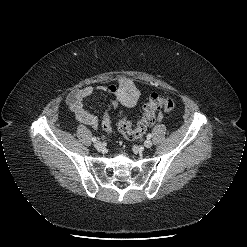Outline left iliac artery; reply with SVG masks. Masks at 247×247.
Wrapping results in <instances>:
<instances>
[{
	"instance_id": "1",
	"label": "left iliac artery",
	"mask_w": 247,
	"mask_h": 247,
	"mask_svg": "<svg viewBox=\"0 0 247 247\" xmlns=\"http://www.w3.org/2000/svg\"><path fill=\"white\" fill-rule=\"evenodd\" d=\"M151 137H152V134L149 133V134L147 135V139H150Z\"/></svg>"
}]
</instances>
